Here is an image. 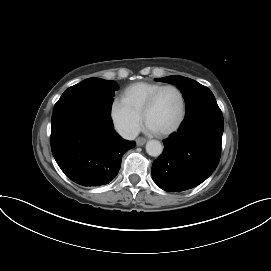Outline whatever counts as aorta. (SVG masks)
Here are the masks:
<instances>
[{"label": "aorta", "mask_w": 271, "mask_h": 271, "mask_svg": "<svg viewBox=\"0 0 271 271\" xmlns=\"http://www.w3.org/2000/svg\"><path fill=\"white\" fill-rule=\"evenodd\" d=\"M163 151V147L158 140H149L146 143V152L153 157L160 156Z\"/></svg>", "instance_id": "obj_1"}]
</instances>
